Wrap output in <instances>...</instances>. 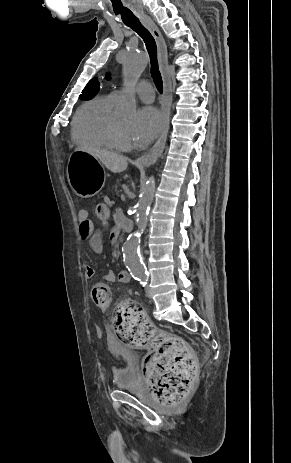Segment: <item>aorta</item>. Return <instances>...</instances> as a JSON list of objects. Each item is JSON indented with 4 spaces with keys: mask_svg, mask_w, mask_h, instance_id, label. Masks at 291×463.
<instances>
[{
    "mask_svg": "<svg viewBox=\"0 0 291 463\" xmlns=\"http://www.w3.org/2000/svg\"><path fill=\"white\" fill-rule=\"evenodd\" d=\"M147 64L148 59L144 53L135 50H130L126 53L123 62V81L126 93V97L123 100V111L127 116H133L136 112L134 88ZM154 192L155 178L152 176L143 188L136 207V225L138 231L131 233L123 245L125 265L133 276L140 278L146 276V269L139 253L140 231H143L146 227L147 215L154 197Z\"/></svg>",
    "mask_w": 291,
    "mask_h": 463,
    "instance_id": "obj_1",
    "label": "aorta"
}]
</instances>
